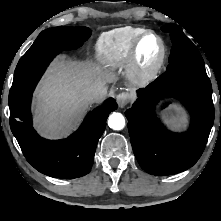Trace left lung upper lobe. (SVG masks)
<instances>
[{"label":"left lung upper lobe","mask_w":221,"mask_h":221,"mask_svg":"<svg viewBox=\"0 0 221 221\" xmlns=\"http://www.w3.org/2000/svg\"><path fill=\"white\" fill-rule=\"evenodd\" d=\"M162 30L170 33L173 43L167 71L184 69L206 74L199 50L183 33L182 29L176 24H170L164 26Z\"/></svg>","instance_id":"obj_1"}]
</instances>
